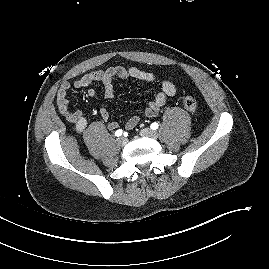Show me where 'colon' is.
<instances>
[{
    "mask_svg": "<svg viewBox=\"0 0 269 269\" xmlns=\"http://www.w3.org/2000/svg\"><path fill=\"white\" fill-rule=\"evenodd\" d=\"M183 105L187 110L191 112H195L197 109V102L195 98L191 95H185L183 97Z\"/></svg>",
    "mask_w": 269,
    "mask_h": 269,
    "instance_id": "colon-1",
    "label": "colon"
}]
</instances>
